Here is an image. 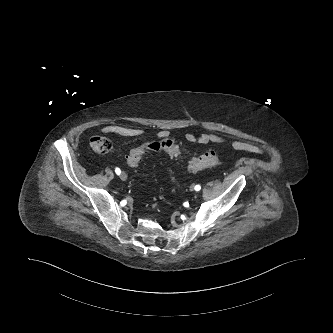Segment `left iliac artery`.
<instances>
[{
    "label": "left iliac artery",
    "mask_w": 333,
    "mask_h": 333,
    "mask_svg": "<svg viewBox=\"0 0 333 333\" xmlns=\"http://www.w3.org/2000/svg\"><path fill=\"white\" fill-rule=\"evenodd\" d=\"M194 189H195L196 191H199V190L201 189V186H200V185H196V186L194 187Z\"/></svg>",
    "instance_id": "obj_1"
}]
</instances>
